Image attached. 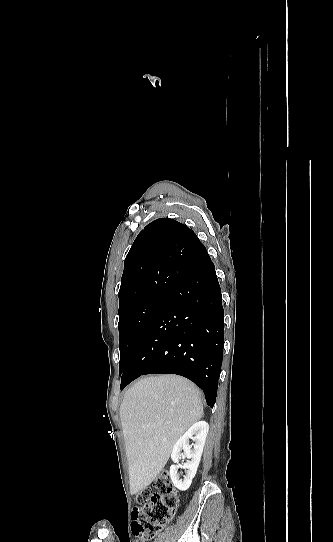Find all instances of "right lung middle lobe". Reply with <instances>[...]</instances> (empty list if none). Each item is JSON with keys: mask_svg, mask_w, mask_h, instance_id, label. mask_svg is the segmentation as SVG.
<instances>
[{"mask_svg": "<svg viewBox=\"0 0 333 542\" xmlns=\"http://www.w3.org/2000/svg\"><path fill=\"white\" fill-rule=\"evenodd\" d=\"M168 292L150 295L139 303L127 306L119 311L118 329L120 333V363L122 375L132 358L138 339L156 308L165 300Z\"/></svg>", "mask_w": 333, "mask_h": 542, "instance_id": "right-lung-middle-lobe-1", "label": "right lung middle lobe"}]
</instances>
